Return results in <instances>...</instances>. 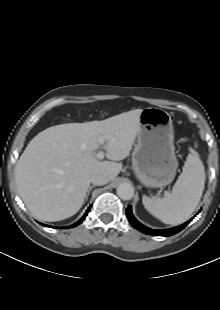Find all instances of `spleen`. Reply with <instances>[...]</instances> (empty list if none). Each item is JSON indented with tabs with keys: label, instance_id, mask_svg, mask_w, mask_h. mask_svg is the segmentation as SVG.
I'll list each match as a JSON object with an SVG mask.
<instances>
[{
	"label": "spleen",
	"instance_id": "spleen-1",
	"mask_svg": "<svg viewBox=\"0 0 220 310\" xmlns=\"http://www.w3.org/2000/svg\"><path fill=\"white\" fill-rule=\"evenodd\" d=\"M204 184L203 163L198 153L191 149L172 193L156 199L143 196V205L150 214L165 224L183 223L199 204Z\"/></svg>",
	"mask_w": 220,
	"mask_h": 310
}]
</instances>
